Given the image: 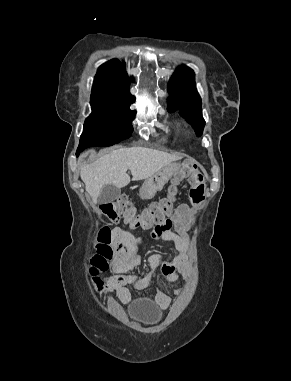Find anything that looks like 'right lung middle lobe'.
<instances>
[{
  "label": "right lung middle lobe",
  "mask_w": 291,
  "mask_h": 381,
  "mask_svg": "<svg viewBox=\"0 0 291 381\" xmlns=\"http://www.w3.org/2000/svg\"><path fill=\"white\" fill-rule=\"evenodd\" d=\"M90 103L93 112L85 120L78 148L111 146L131 136L136 112L129 109L130 104L92 97Z\"/></svg>",
  "instance_id": "right-lung-middle-lobe-1"
}]
</instances>
